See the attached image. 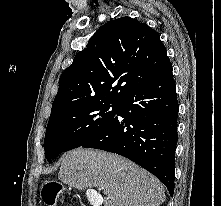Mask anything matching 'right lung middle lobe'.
Instances as JSON below:
<instances>
[{"label":"right lung middle lobe","mask_w":221,"mask_h":206,"mask_svg":"<svg viewBox=\"0 0 221 206\" xmlns=\"http://www.w3.org/2000/svg\"><path fill=\"white\" fill-rule=\"evenodd\" d=\"M117 108L118 104L100 102L52 114L44 139L45 158L51 163L60 153L82 146L114 119Z\"/></svg>","instance_id":"right-lung-middle-lobe-1"}]
</instances>
